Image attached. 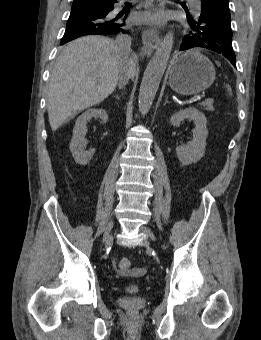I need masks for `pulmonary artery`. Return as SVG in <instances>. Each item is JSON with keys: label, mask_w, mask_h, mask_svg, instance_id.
Masks as SVG:
<instances>
[{"label": "pulmonary artery", "mask_w": 261, "mask_h": 340, "mask_svg": "<svg viewBox=\"0 0 261 340\" xmlns=\"http://www.w3.org/2000/svg\"><path fill=\"white\" fill-rule=\"evenodd\" d=\"M191 3V6L195 8V14L199 13V1L198 0H188Z\"/></svg>", "instance_id": "pulmonary-artery-1"}]
</instances>
